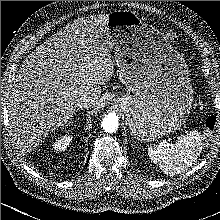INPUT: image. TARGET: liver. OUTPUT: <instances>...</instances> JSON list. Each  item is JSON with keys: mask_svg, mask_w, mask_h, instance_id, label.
I'll return each mask as SVG.
<instances>
[{"mask_svg": "<svg viewBox=\"0 0 220 220\" xmlns=\"http://www.w3.org/2000/svg\"><path fill=\"white\" fill-rule=\"evenodd\" d=\"M108 15L78 18L38 46L21 64L6 107L17 144L37 147L71 119L82 95L101 105V86L114 75ZM115 59V58H114Z\"/></svg>", "mask_w": 220, "mask_h": 220, "instance_id": "6515ba94", "label": "liver"}]
</instances>
